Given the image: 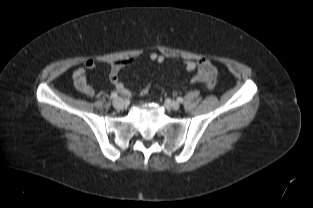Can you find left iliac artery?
Segmentation results:
<instances>
[{"instance_id":"44dca946","label":"left iliac artery","mask_w":313,"mask_h":208,"mask_svg":"<svg viewBox=\"0 0 313 208\" xmlns=\"http://www.w3.org/2000/svg\"><path fill=\"white\" fill-rule=\"evenodd\" d=\"M177 101L180 102V103H182V102H183V98H182V97H178V98H177Z\"/></svg>"}]
</instances>
